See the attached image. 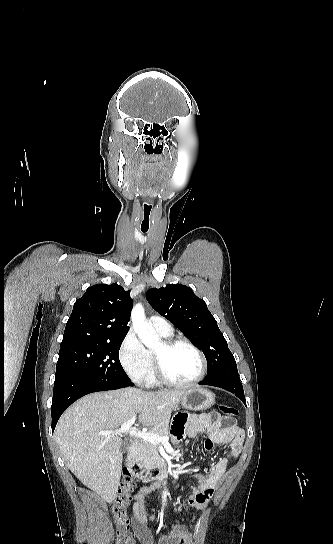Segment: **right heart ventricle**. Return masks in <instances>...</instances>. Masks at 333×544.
Returning a JSON list of instances; mask_svg holds the SVG:
<instances>
[{
	"instance_id": "1",
	"label": "right heart ventricle",
	"mask_w": 333,
	"mask_h": 544,
	"mask_svg": "<svg viewBox=\"0 0 333 544\" xmlns=\"http://www.w3.org/2000/svg\"><path fill=\"white\" fill-rule=\"evenodd\" d=\"M162 336H163V337H170V335H167V336H166V335H162ZM146 384L149 385V386H154V385L158 384V381H157V379H156V377H155V373H154L153 368H152V371H151V373H150V375H149V378H148Z\"/></svg>"
}]
</instances>
